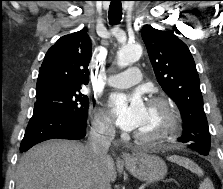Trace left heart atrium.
Here are the masks:
<instances>
[{"instance_id": "left-heart-atrium-1", "label": "left heart atrium", "mask_w": 223, "mask_h": 189, "mask_svg": "<svg viewBox=\"0 0 223 189\" xmlns=\"http://www.w3.org/2000/svg\"><path fill=\"white\" fill-rule=\"evenodd\" d=\"M108 108L117 126L125 131L138 129L146 115V104L138 92L112 94Z\"/></svg>"}]
</instances>
